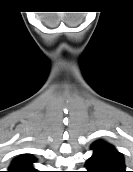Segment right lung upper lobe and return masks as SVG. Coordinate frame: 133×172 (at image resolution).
<instances>
[{
	"label": "right lung upper lobe",
	"mask_w": 133,
	"mask_h": 172,
	"mask_svg": "<svg viewBox=\"0 0 133 172\" xmlns=\"http://www.w3.org/2000/svg\"><path fill=\"white\" fill-rule=\"evenodd\" d=\"M34 162V157L27 154L21 155L12 161L8 172H38L32 166Z\"/></svg>",
	"instance_id": "right-lung-upper-lobe-1"
}]
</instances>
